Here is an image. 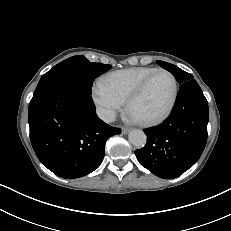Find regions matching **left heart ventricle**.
<instances>
[{
  "instance_id": "b2bd125f",
  "label": "left heart ventricle",
  "mask_w": 231,
  "mask_h": 231,
  "mask_svg": "<svg viewBox=\"0 0 231 231\" xmlns=\"http://www.w3.org/2000/svg\"><path fill=\"white\" fill-rule=\"evenodd\" d=\"M172 95V79L165 73H158L142 96L132 104L129 113L138 120L155 118L167 109Z\"/></svg>"
}]
</instances>
